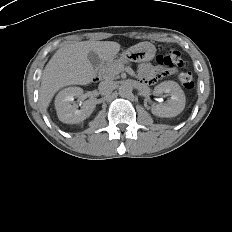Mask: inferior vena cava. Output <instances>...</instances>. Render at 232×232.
Returning <instances> with one entry per match:
<instances>
[{
    "label": "inferior vena cava",
    "mask_w": 232,
    "mask_h": 232,
    "mask_svg": "<svg viewBox=\"0 0 232 232\" xmlns=\"http://www.w3.org/2000/svg\"><path fill=\"white\" fill-rule=\"evenodd\" d=\"M114 88V82L112 80H105L99 83L98 89L100 94L107 95L111 93Z\"/></svg>",
    "instance_id": "602c4592"
}]
</instances>
